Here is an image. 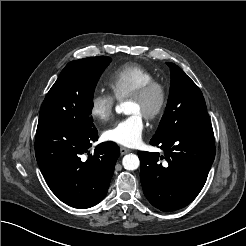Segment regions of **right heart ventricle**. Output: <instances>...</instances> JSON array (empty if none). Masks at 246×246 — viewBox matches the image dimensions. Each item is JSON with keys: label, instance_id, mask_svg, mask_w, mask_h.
I'll use <instances>...</instances> for the list:
<instances>
[{"label": "right heart ventricle", "instance_id": "obj_1", "mask_svg": "<svg viewBox=\"0 0 246 246\" xmlns=\"http://www.w3.org/2000/svg\"><path fill=\"white\" fill-rule=\"evenodd\" d=\"M154 79V74L147 68L137 64H125L109 75L107 84L113 96L121 101Z\"/></svg>", "mask_w": 246, "mask_h": 246}]
</instances>
